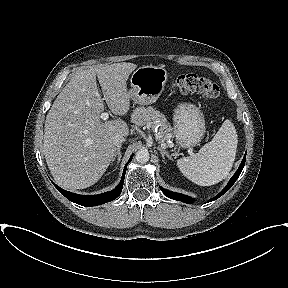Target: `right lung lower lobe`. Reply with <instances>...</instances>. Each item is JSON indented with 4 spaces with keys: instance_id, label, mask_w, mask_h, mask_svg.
<instances>
[{
    "instance_id": "1",
    "label": "right lung lower lobe",
    "mask_w": 288,
    "mask_h": 288,
    "mask_svg": "<svg viewBox=\"0 0 288 288\" xmlns=\"http://www.w3.org/2000/svg\"><path fill=\"white\" fill-rule=\"evenodd\" d=\"M131 159L132 158L129 159L128 163L131 161ZM126 169L127 167L124 168L122 180L115 189L106 193L98 194V195H79V194H75V193H71L69 191L63 190L60 187H58L56 184L54 183L53 184L59 190V192L63 194L70 201L77 203L81 206H85V207L97 206V205L110 202L116 199L120 195L122 188H123V182H124Z\"/></svg>"
}]
</instances>
